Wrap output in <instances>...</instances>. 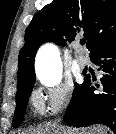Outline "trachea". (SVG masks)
Returning a JSON list of instances; mask_svg holds the SVG:
<instances>
[{"label": "trachea", "instance_id": "3493384b", "mask_svg": "<svg viewBox=\"0 0 116 134\" xmlns=\"http://www.w3.org/2000/svg\"><path fill=\"white\" fill-rule=\"evenodd\" d=\"M80 44H81V45H84V44H85V40H81V41H80Z\"/></svg>", "mask_w": 116, "mask_h": 134}]
</instances>
